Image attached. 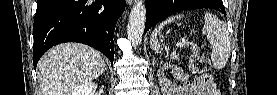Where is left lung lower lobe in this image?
<instances>
[{
  "mask_svg": "<svg viewBox=\"0 0 277 95\" xmlns=\"http://www.w3.org/2000/svg\"><path fill=\"white\" fill-rule=\"evenodd\" d=\"M179 1L180 0H146V25L144 33L166 17L182 10L210 8L226 15L222 0H198L201 5L195 7L181 6Z\"/></svg>",
  "mask_w": 277,
  "mask_h": 95,
  "instance_id": "0a47b994",
  "label": "left lung lower lobe"
}]
</instances>
